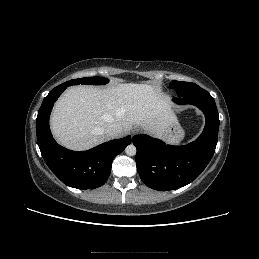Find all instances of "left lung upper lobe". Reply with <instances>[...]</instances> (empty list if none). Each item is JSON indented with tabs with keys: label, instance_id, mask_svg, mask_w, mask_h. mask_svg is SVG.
I'll list each match as a JSON object with an SVG mask.
<instances>
[{
	"label": "left lung upper lobe",
	"instance_id": "obj_1",
	"mask_svg": "<svg viewBox=\"0 0 259 259\" xmlns=\"http://www.w3.org/2000/svg\"><path fill=\"white\" fill-rule=\"evenodd\" d=\"M169 87L176 90L178 97L209 94L195 83L172 81Z\"/></svg>",
	"mask_w": 259,
	"mask_h": 259
}]
</instances>
